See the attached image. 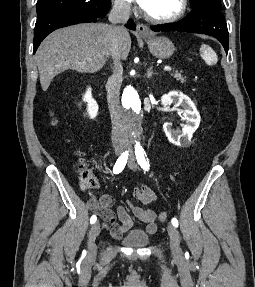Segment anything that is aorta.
Returning a JSON list of instances; mask_svg holds the SVG:
<instances>
[{"label":"aorta","mask_w":255,"mask_h":287,"mask_svg":"<svg viewBox=\"0 0 255 287\" xmlns=\"http://www.w3.org/2000/svg\"><path fill=\"white\" fill-rule=\"evenodd\" d=\"M122 101L129 116L130 133L137 139L141 131L142 108L139 95L132 86H127L124 89Z\"/></svg>","instance_id":"obj_1"}]
</instances>
